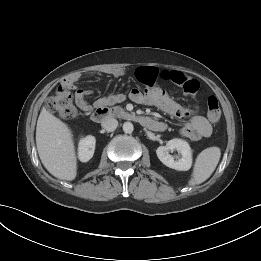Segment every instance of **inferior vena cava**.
<instances>
[{
    "mask_svg": "<svg viewBox=\"0 0 261 261\" xmlns=\"http://www.w3.org/2000/svg\"><path fill=\"white\" fill-rule=\"evenodd\" d=\"M118 126V121L114 118H108L102 122V127L107 131H114Z\"/></svg>",
    "mask_w": 261,
    "mask_h": 261,
    "instance_id": "obj_1",
    "label": "inferior vena cava"
}]
</instances>
